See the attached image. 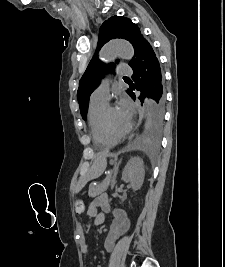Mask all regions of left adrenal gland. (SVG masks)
Returning a JSON list of instances; mask_svg holds the SVG:
<instances>
[{"label": "left adrenal gland", "instance_id": "obj_1", "mask_svg": "<svg viewBox=\"0 0 225 267\" xmlns=\"http://www.w3.org/2000/svg\"><path fill=\"white\" fill-rule=\"evenodd\" d=\"M119 165H120V162H115L112 188L114 187V185L116 183V176H117V173H118Z\"/></svg>", "mask_w": 225, "mask_h": 267}]
</instances>
